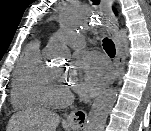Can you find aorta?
I'll list each match as a JSON object with an SVG mask.
<instances>
[{
  "instance_id": "obj_1",
  "label": "aorta",
  "mask_w": 151,
  "mask_h": 131,
  "mask_svg": "<svg viewBox=\"0 0 151 131\" xmlns=\"http://www.w3.org/2000/svg\"><path fill=\"white\" fill-rule=\"evenodd\" d=\"M61 20L64 25L70 26L74 29L80 28L84 25V21L77 17L76 11L68 7L61 13ZM90 25L97 24L95 21H90ZM68 55L62 42L55 38L50 41L48 45V56L53 59H62ZM117 90L115 88H109L99 95L88 114L85 131H104L108 114L114 106L117 99Z\"/></svg>"
}]
</instances>
